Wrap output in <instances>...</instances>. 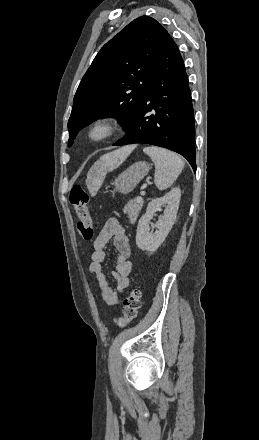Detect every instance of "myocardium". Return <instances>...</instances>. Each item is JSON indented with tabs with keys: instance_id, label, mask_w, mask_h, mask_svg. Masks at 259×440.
<instances>
[{
	"instance_id": "1",
	"label": "myocardium",
	"mask_w": 259,
	"mask_h": 440,
	"mask_svg": "<svg viewBox=\"0 0 259 440\" xmlns=\"http://www.w3.org/2000/svg\"><path fill=\"white\" fill-rule=\"evenodd\" d=\"M121 121L112 111L104 112L95 117L86 127L85 138L93 144L107 141L121 130Z\"/></svg>"
}]
</instances>
